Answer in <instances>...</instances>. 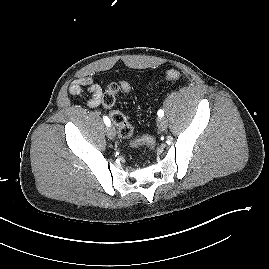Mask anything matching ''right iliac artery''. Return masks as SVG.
<instances>
[{"label":"right iliac artery","instance_id":"82829eb1","mask_svg":"<svg viewBox=\"0 0 269 269\" xmlns=\"http://www.w3.org/2000/svg\"><path fill=\"white\" fill-rule=\"evenodd\" d=\"M103 120H104V123L106 124V126H110L111 122L107 116H103Z\"/></svg>","mask_w":269,"mask_h":269}]
</instances>
